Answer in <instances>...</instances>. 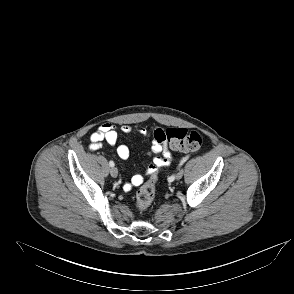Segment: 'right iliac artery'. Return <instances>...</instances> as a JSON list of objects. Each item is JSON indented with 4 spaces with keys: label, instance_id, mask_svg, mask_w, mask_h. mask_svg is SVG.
<instances>
[{
    "label": "right iliac artery",
    "instance_id": "82829eb1",
    "mask_svg": "<svg viewBox=\"0 0 294 294\" xmlns=\"http://www.w3.org/2000/svg\"><path fill=\"white\" fill-rule=\"evenodd\" d=\"M109 165H110L111 167H114L115 164H114L113 161H110V162H109Z\"/></svg>",
    "mask_w": 294,
    "mask_h": 294
}]
</instances>
